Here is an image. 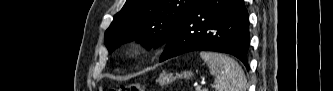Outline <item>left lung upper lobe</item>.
Here are the masks:
<instances>
[{
	"label": "left lung upper lobe",
	"mask_w": 333,
	"mask_h": 91,
	"mask_svg": "<svg viewBox=\"0 0 333 91\" xmlns=\"http://www.w3.org/2000/svg\"><path fill=\"white\" fill-rule=\"evenodd\" d=\"M198 0H127L105 32L111 52L121 40H136L145 47L167 43Z\"/></svg>",
	"instance_id": "obj_1"
}]
</instances>
